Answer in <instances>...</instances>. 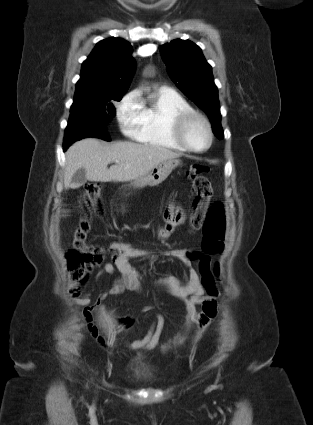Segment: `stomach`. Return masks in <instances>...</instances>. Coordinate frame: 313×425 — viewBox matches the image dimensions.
I'll use <instances>...</instances> for the list:
<instances>
[{"label":"stomach","mask_w":313,"mask_h":425,"mask_svg":"<svg viewBox=\"0 0 313 425\" xmlns=\"http://www.w3.org/2000/svg\"><path fill=\"white\" fill-rule=\"evenodd\" d=\"M179 164L180 161L177 159L164 160L154 166L146 174L134 179V181L131 182V185L134 188L157 186L161 184Z\"/></svg>","instance_id":"0dacf381"}]
</instances>
